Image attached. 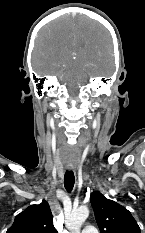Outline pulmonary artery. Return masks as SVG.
Masks as SVG:
<instances>
[{"instance_id": "e3ab8cb5", "label": "pulmonary artery", "mask_w": 145, "mask_h": 233, "mask_svg": "<svg viewBox=\"0 0 145 233\" xmlns=\"http://www.w3.org/2000/svg\"><path fill=\"white\" fill-rule=\"evenodd\" d=\"M82 233H98V230L93 226H87L82 230Z\"/></svg>"}]
</instances>
